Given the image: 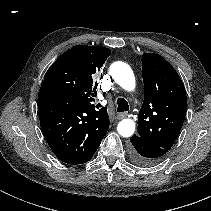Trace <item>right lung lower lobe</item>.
Returning <instances> with one entry per match:
<instances>
[{
    "label": "right lung lower lobe",
    "instance_id": "obj_1",
    "mask_svg": "<svg viewBox=\"0 0 211 211\" xmlns=\"http://www.w3.org/2000/svg\"><path fill=\"white\" fill-rule=\"evenodd\" d=\"M38 114L44 136L61 161L68 164L88 162L109 128V119L87 111L72 96L40 88Z\"/></svg>",
    "mask_w": 211,
    "mask_h": 211
}]
</instances>
